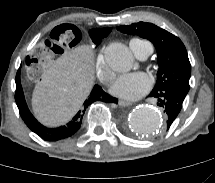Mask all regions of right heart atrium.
Returning <instances> with one entry per match:
<instances>
[{"label":"right heart atrium","instance_id":"d8ad5b80","mask_svg":"<svg viewBox=\"0 0 215 183\" xmlns=\"http://www.w3.org/2000/svg\"><path fill=\"white\" fill-rule=\"evenodd\" d=\"M96 72L97 76L101 82L104 84H110L114 78V72L111 68L106 64L105 58L103 54H100L96 63Z\"/></svg>","mask_w":215,"mask_h":183}]
</instances>
